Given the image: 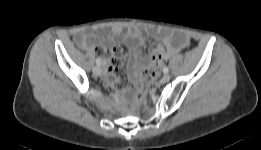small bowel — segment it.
<instances>
[{"label":"small bowel","instance_id":"1","mask_svg":"<svg viewBox=\"0 0 261 150\" xmlns=\"http://www.w3.org/2000/svg\"><path fill=\"white\" fill-rule=\"evenodd\" d=\"M145 34L163 43V47L154 43L152 51L158 52V65L156 73L163 61L175 56L189 44V38L182 32L173 31L167 28L154 26L142 28L132 26L123 34V28L114 26L109 32L97 29H83L74 35L78 46L86 51H97L107 61V81L112 87H119L123 80L118 62L121 59V52L114 47L115 43H122L128 48V71L131 80H135L140 69L154 67V62H148L142 56V48L145 45Z\"/></svg>","mask_w":261,"mask_h":150}]
</instances>
